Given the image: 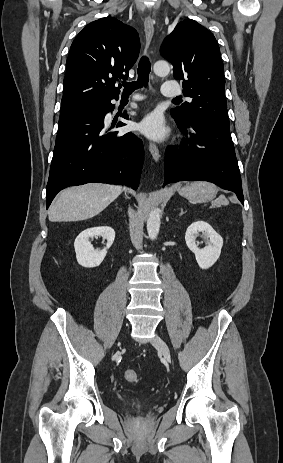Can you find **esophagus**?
<instances>
[{
    "mask_svg": "<svg viewBox=\"0 0 283 463\" xmlns=\"http://www.w3.org/2000/svg\"><path fill=\"white\" fill-rule=\"evenodd\" d=\"M144 30L146 37L145 50H147L151 44L154 35V20L150 16L145 18ZM149 151L153 159L157 162L160 158L158 147L154 143H149Z\"/></svg>",
    "mask_w": 283,
    "mask_h": 463,
    "instance_id": "esophagus-1",
    "label": "esophagus"
}]
</instances>
